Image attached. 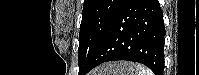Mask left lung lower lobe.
<instances>
[{"label": "left lung lower lobe", "mask_w": 199, "mask_h": 75, "mask_svg": "<svg viewBox=\"0 0 199 75\" xmlns=\"http://www.w3.org/2000/svg\"><path fill=\"white\" fill-rule=\"evenodd\" d=\"M165 29L157 0H123L90 65L81 74L108 61L127 60L163 75Z\"/></svg>", "instance_id": "0a47b994"}]
</instances>
